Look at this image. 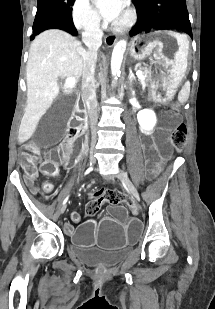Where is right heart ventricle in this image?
Returning a JSON list of instances; mask_svg holds the SVG:
<instances>
[{"instance_id":"right-heart-ventricle-1","label":"right heart ventricle","mask_w":215,"mask_h":309,"mask_svg":"<svg viewBox=\"0 0 215 309\" xmlns=\"http://www.w3.org/2000/svg\"><path fill=\"white\" fill-rule=\"evenodd\" d=\"M87 44H99V43H87Z\"/></svg>"}]
</instances>
